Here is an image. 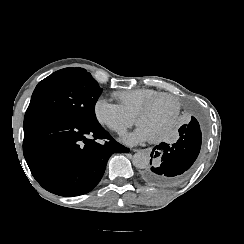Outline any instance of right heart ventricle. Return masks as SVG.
<instances>
[{
    "mask_svg": "<svg viewBox=\"0 0 244 244\" xmlns=\"http://www.w3.org/2000/svg\"><path fill=\"white\" fill-rule=\"evenodd\" d=\"M162 93L150 89L126 90L122 93L113 92L111 96L118 100L121 105L126 107L134 115L143 108L146 104L154 101L155 97H161ZM162 102V100H161ZM170 111V110H169ZM169 113V112H168ZM148 129V128H147ZM152 134V130L148 129Z\"/></svg>",
    "mask_w": 244,
    "mask_h": 244,
    "instance_id": "1",
    "label": "right heart ventricle"
}]
</instances>
